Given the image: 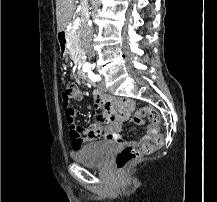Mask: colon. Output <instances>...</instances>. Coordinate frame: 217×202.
<instances>
[{"label": "colon", "mask_w": 217, "mask_h": 202, "mask_svg": "<svg viewBox=\"0 0 217 202\" xmlns=\"http://www.w3.org/2000/svg\"><path fill=\"white\" fill-rule=\"evenodd\" d=\"M71 96V90L69 87H65L60 92V100H61V106L62 110L65 115V123L68 126L69 129H72L74 126V118H73V112L70 108L69 99ZM147 116L148 120L151 123L158 124L161 120L160 115L158 111L155 110V107H148L146 108V105H143L142 108H138V111L136 112L135 117V125L136 126H145V121L142 120V117ZM164 141V138L161 137V134H158V137L154 138V141L147 142L144 145V153L150 154L155 151L156 147L161 145V142ZM142 155V152L139 149L133 148L131 146H126L120 151L116 157H115V165L119 169H123L126 165L129 163L138 160Z\"/></svg>", "instance_id": "colon-1"}]
</instances>
